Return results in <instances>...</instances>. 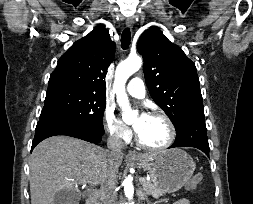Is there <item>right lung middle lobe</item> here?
Here are the masks:
<instances>
[{
  "instance_id": "right-lung-middle-lobe-1",
  "label": "right lung middle lobe",
  "mask_w": 253,
  "mask_h": 204,
  "mask_svg": "<svg viewBox=\"0 0 253 204\" xmlns=\"http://www.w3.org/2000/svg\"><path fill=\"white\" fill-rule=\"evenodd\" d=\"M104 96L68 85L48 86L40 120L63 121L104 131Z\"/></svg>"
}]
</instances>
